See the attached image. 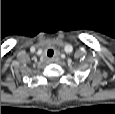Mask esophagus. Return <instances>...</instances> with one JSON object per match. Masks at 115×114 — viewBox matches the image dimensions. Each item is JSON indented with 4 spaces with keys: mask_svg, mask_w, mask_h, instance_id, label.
Instances as JSON below:
<instances>
[{
    "mask_svg": "<svg viewBox=\"0 0 115 114\" xmlns=\"http://www.w3.org/2000/svg\"><path fill=\"white\" fill-rule=\"evenodd\" d=\"M55 61H56L55 58H51V59H49V62H51V63H53V62H55Z\"/></svg>",
    "mask_w": 115,
    "mask_h": 114,
    "instance_id": "1",
    "label": "esophagus"
}]
</instances>
